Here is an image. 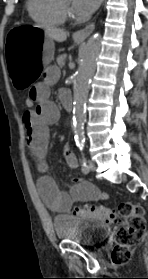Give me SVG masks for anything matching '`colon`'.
<instances>
[{
	"label": "colon",
	"instance_id": "1",
	"mask_svg": "<svg viewBox=\"0 0 148 279\" xmlns=\"http://www.w3.org/2000/svg\"><path fill=\"white\" fill-rule=\"evenodd\" d=\"M34 103V97L28 94L25 105L30 108ZM71 214L121 224L115 233V246L112 251V261L115 264L125 263L129 259L133 246L146 230L144 208L130 201L121 202L116 210L104 206L80 205L74 207Z\"/></svg>",
	"mask_w": 148,
	"mask_h": 279
}]
</instances>
